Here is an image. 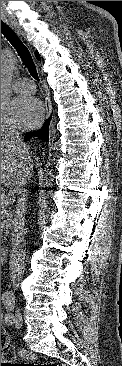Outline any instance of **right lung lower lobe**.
Here are the masks:
<instances>
[{
  "label": "right lung lower lobe",
  "instance_id": "right-lung-lower-lobe-1",
  "mask_svg": "<svg viewBox=\"0 0 122 366\" xmlns=\"http://www.w3.org/2000/svg\"><path fill=\"white\" fill-rule=\"evenodd\" d=\"M50 119L49 118L44 125L42 126V128L38 131H33V132H28L25 134V140H28L31 136H38L39 138H41V140L43 141H48L49 140V124H50Z\"/></svg>",
  "mask_w": 122,
  "mask_h": 366
}]
</instances>
